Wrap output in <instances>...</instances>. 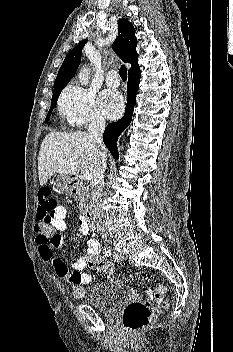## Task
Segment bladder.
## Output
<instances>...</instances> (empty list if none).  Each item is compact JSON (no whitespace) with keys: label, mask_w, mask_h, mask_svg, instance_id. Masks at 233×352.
Segmentation results:
<instances>
[{"label":"bladder","mask_w":233,"mask_h":352,"mask_svg":"<svg viewBox=\"0 0 233 352\" xmlns=\"http://www.w3.org/2000/svg\"><path fill=\"white\" fill-rule=\"evenodd\" d=\"M126 292L120 283L104 281L95 284L87 297L90 306L98 311L113 315L125 301Z\"/></svg>","instance_id":"obj_1"}]
</instances>
